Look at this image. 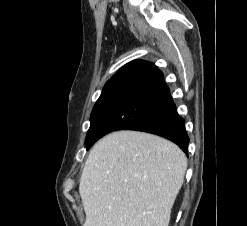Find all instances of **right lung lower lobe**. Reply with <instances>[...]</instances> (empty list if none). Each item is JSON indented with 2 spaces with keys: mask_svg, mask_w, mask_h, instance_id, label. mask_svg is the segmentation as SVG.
I'll return each instance as SVG.
<instances>
[{
  "mask_svg": "<svg viewBox=\"0 0 247 226\" xmlns=\"http://www.w3.org/2000/svg\"><path fill=\"white\" fill-rule=\"evenodd\" d=\"M115 130L156 134L171 140L188 153L189 137L184 120L177 113L162 72L153 63L136 60L121 69L87 142V149Z\"/></svg>",
  "mask_w": 247,
  "mask_h": 226,
  "instance_id": "1",
  "label": "right lung lower lobe"
}]
</instances>
